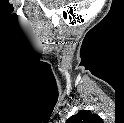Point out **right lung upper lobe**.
<instances>
[{"label":"right lung upper lobe","mask_w":124,"mask_h":123,"mask_svg":"<svg viewBox=\"0 0 124 123\" xmlns=\"http://www.w3.org/2000/svg\"><path fill=\"white\" fill-rule=\"evenodd\" d=\"M101 118L90 111L81 110L76 115L71 116L66 123H94L100 122Z\"/></svg>","instance_id":"right-lung-upper-lobe-1"}]
</instances>
